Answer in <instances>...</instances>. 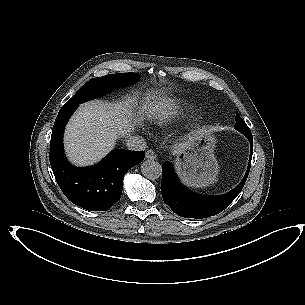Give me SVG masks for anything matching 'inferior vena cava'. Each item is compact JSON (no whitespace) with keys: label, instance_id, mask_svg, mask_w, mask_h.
<instances>
[{"label":"inferior vena cava","instance_id":"obj_1","mask_svg":"<svg viewBox=\"0 0 305 305\" xmlns=\"http://www.w3.org/2000/svg\"><path fill=\"white\" fill-rule=\"evenodd\" d=\"M126 147L131 151H144L147 144L143 137L131 136L126 140Z\"/></svg>","mask_w":305,"mask_h":305}]
</instances>
